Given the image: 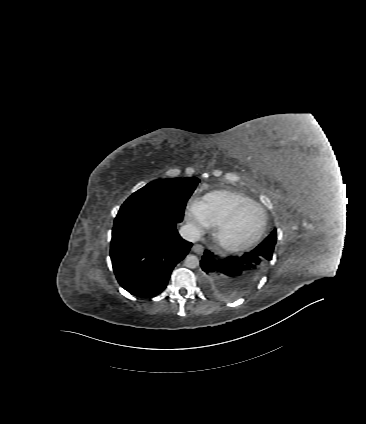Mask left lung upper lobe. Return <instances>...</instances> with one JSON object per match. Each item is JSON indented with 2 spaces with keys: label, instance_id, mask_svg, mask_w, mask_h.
<instances>
[{
  "label": "left lung upper lobe",
  "instance_id": "left-lung-upper-lobe-1",
  "mask_svg": "<svg viewBox=\"0 0 366 424\" xmlns=\"http://www.w3.org/2000/svg\"><path fill=\"white\" fill-rule=\"evenodd\" d=\"M277 234L276 229L255 249L254 252L262 256V263L257 271L251 274V277L257 279L261 276L265 265L272 259L273 250L276 244Z\"/></svg>",
  "mask_w": 366,
  "mask_h": 424
}]
</instances>
